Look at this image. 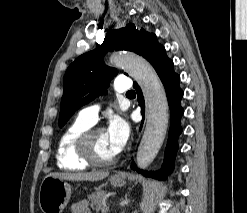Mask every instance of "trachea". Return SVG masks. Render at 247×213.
I'll return each instance as SVG.
<instances>
[{
    "instance_id": "obj_1",
    "label": "trachea",
    "mask_w": 247,
    "mask_h": 213,
    "mask_svg": "<svg viewBox=\"0 0 247 213\" xmlns=\"http://www.w3.org/2000/svg\"><path fill=\"white\" fill-rule=\"evenodd\" d=\"M127 93H134V91H133V90H131V91L127 92Z\"/></svg>"
}]
</instances>
